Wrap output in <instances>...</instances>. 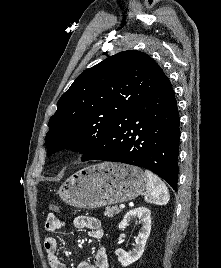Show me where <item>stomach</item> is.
<instances>
[{
    "mask_svg": "<svg viewBox=\"0 0 221 268\" xmlns=\"http://www.w3.org/2000/svg\"><path fill=\"white\" fill-rule=\"evenodd\" d=\"M147 178L142 169L104 162L85 167L71 175L59 188L60 198L68 205L95 209L138 197Z\"/></svg>",
    "mask_w": 221,
    "mask_h": 268,
    "instance_id": "stomach-1",
    "label": "stomach"
}]
</instances>
